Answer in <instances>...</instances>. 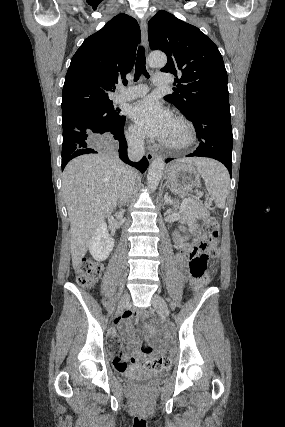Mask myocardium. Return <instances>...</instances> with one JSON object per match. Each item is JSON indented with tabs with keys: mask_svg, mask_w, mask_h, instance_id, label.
Instances as JSON below:
<instances>
[{
	"mask_svg": "<svg viewBox=\"0 0 285 427\" xmlns=\"http://www.w3.org/2000/svg\"><path fill=\"white\" fill-rule=\"evenodd\" d=\"M175 121L179 122L185 129L186 137L184 141L180 143H172L169 141H164L163 144L166 148L171 150H185L192 146L196 141V131L193 124L183 116H176Z\"/></svg>",
	"mask_w": 285,
	"mask_h": 427,
	"instance_id": "obj_1",
	"label": "myocardium"
}]
</instances>
